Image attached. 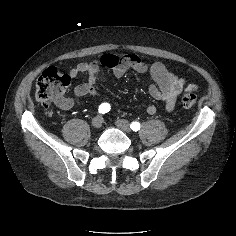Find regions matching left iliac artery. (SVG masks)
I'll return each instance as SVG.
<instances>
[{
    "label": "left iliac artery",
    "mask_w": 236,
    "mask_h": 236,
    "mask_svg": "<svg viewBox=\"0 0 236 236\" xmlns=\"http://www.w3.org/2000/svg\"><path fill=\"white\" fill-rule=\"evenodd\" d=\"M130 128L133 131H138L140 129V123L139 122H132L130 125Z\"/></svg>",
    "instance_id": "obj_1"
}]
</instances>
